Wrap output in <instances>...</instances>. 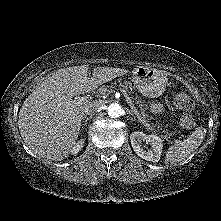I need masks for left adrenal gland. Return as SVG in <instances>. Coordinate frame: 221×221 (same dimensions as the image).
I'll return each instance as SVG.
<instances>
[{
	"label": "left adrenal gland",
	"mask_w": 221,
	"mask_h": 221,
	"mask_svg": "<svg viewBox=\"0 0 221 221\" xmlns=\"http://www.w3.org/2000/svg\"><path fill=\"white\" fill-rule=\"evenodd\" d=\"M129 114H131L132 116L134 115L133 111H129Z\"/></svg>",
	"instance_id": "1"
}]
</instances>
